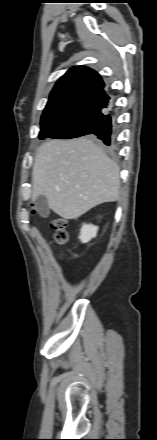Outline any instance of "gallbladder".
Returning <instances> with one entry per match:
<instances>
[{
  "mask_svg": "<svg viewBox=\"0 0 157 440\" xmlns=\"http://www.w3.org/2000/svg\"><path fill=\"white\" fill-rule=\"evenodd\" d=\"M35 206L37 208L38 213L45 217L49 213L48 200L45 196L40 195L35 199Z\"/></svg>",
  "mask_w": 157,
  "mask_h": 440,
  "instance_id": "bac80fb5",
  "label": "gallbladder"
}]
</instances>
